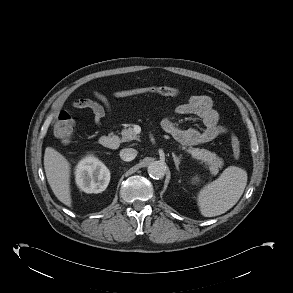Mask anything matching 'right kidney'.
<instances>
[{
  "mask_svg": "<svg viewBox=\"0 0 293 293\" xmlns=\"http://www.w3.org/2000/svg\"><path fill=\"white\" fill-rule=\"evenodd\" d=\"M77 186L86 193L103 192L110 181V171L98 158L86 156L77 165L75 171Z\"/></svg>",
  "mask_w": 293,
  "mask_h": 293,
  "instance_id": "obj_1",
  "label": "right kidney"
}]
</instances>
